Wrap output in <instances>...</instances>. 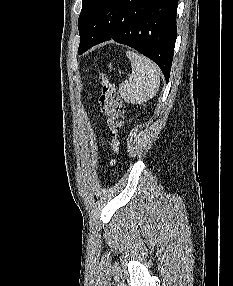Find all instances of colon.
<instances>
[{
  "mask_svg": "<svg viewBox=\"0 0 233 286\" xmlns=\"http://www.w3.org/2000/svg\"><path fill=\"white\" fill-rule=\"evenodd\" d=\"M102 85L99 103L103 115L106 117V125L112 139L114 149L118 147V135L123 125L124 106L115 85L110 79L102 74L100 76Z\"/></svg>",
  "mask_w": 233,
  "mask_h": 286,
  "instance_id": "1",
  "label": "colon"
}]
</instances>
